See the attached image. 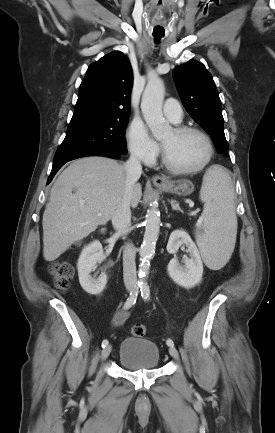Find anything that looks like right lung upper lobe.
<instances>
[{"mask_svg":"<svg viewBox=\"0 0 275 433\" xmlns=\"http://www.w3.org/2000/svg\"><path fill=\"white\" fill-rule=\"evenodd\" d=\"M132 85V68L123 53L115 51L102 57L86 72L72 119L128 118Z\"/></svg>","mask_w":275,"mask_h":433,"instance_id":"cb5924a9","label":"right lung upper lobe"}]
</instances>
